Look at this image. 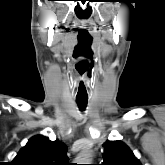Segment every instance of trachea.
<instances>
[{"label": "trachea", "instance_id": "trachea-1", "mask_svg": "<svg viewBox=\"0 0 165 165\" xmlns=\"http://www.w3.org/2000/svg\"><path fill=\"white\" fill-rule=\"evenodd\" d=\"M88 98H76V103L81 111H84L87 106Z\"/></svg>", "mask_w": 165, "mask_h": 165}]
</instances>
